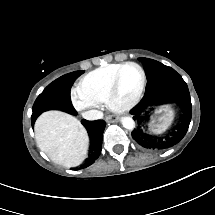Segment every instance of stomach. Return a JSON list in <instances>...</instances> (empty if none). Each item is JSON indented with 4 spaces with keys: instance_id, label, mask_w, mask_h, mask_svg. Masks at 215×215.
<instances>
[{
    "instance_id": "obj_1",
    "label": "stomach",
    "mask_w": 215,
    "mask_h": 215,
    "mask_svg": "<svg viewBox=\"0 0 215 215\" xmlns=\"http://www.w3.org/2000/svg\"><path fill=\"white\" fill-rule=\"evenodd\" d=\"M176 111L173 107L155 109L149 113L145 122L147 129L153 134H163L174 124Z\"/></svg>"
}]
</instances>
